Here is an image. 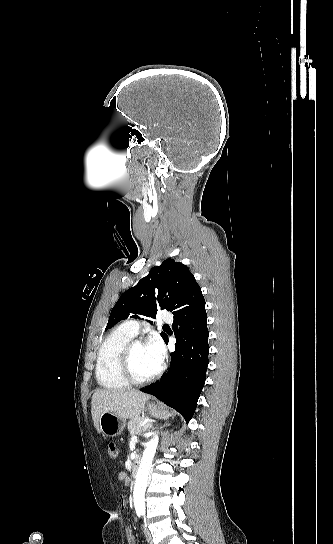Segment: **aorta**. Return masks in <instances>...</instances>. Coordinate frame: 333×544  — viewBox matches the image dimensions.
<instances>
[{"label": "aorta", "instance_id": "aorta-1", "mask_svg": "<svg viewBox=\"0 0 333 544\" xmlns=\"http://www.w3.org/2000/svg\"><path fill=\"white\" fill-rule=\"evenodd\" d=\"M158 442V436L154 435V437L146 444L134 485L133 497L135 508L143 509L145 507L147 479L154 455L156 453Z\"/></svg>", "mask_w": 333, "mask_h": 544}]
</instances>
